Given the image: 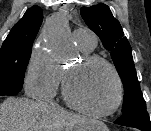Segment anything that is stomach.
<instances>
[{"label": "stomach", "instance_id": "stomach-1", "mask_svg": "<svg viewBox=\"0 0 151 131\" xmlns=\"http://www.w3.org/2000/svg\"><path fill=\"white\" fill-rule=\"evenodd\" d=\"M75 131H109L108 127L99 120H88L83 124H79L75 127Z\"/></svg>", "mask_w": 151, "mask_h": 131}]
</instances>
